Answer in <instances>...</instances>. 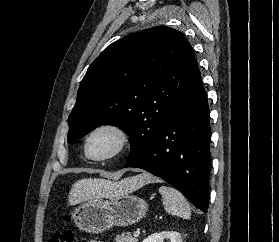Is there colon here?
<instances>
[{"label": "colon", "mask_w": 279, "mask_h": 242, "mask_svg": "<svg viewBox=\"0 0 279 242\" xmlns=\"http://www.w3.org/2000/svg\"><path fill=\"white\" fill-rule=\"evenodd\" d=\"M65 220L69 222L71 220L70 215H66ZM48 242H75V236L71 230L58 231Z\"/></svg>", "instance_id": "1"}]
</instances>
